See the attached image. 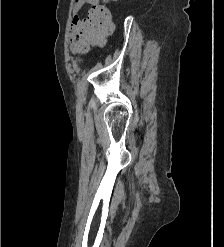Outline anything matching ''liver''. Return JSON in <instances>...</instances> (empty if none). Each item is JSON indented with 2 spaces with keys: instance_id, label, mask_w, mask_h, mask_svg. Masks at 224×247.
Here are the masks:
<instances>
[{
  "instance_id": "obj_1",
  "label": "liver",
  "mask_w": 224,
  "mask_h": 247,
  "mask_svg": "<svg viewBox=\"0 0 224 247\" xmlns=\"http://www.w3.org/2000/svg\"><path fill=\"white\" fill-rule=\"evenodd\" d=\"M113 2H117V0H113Z\"/></svg>"
}]
</instances>
